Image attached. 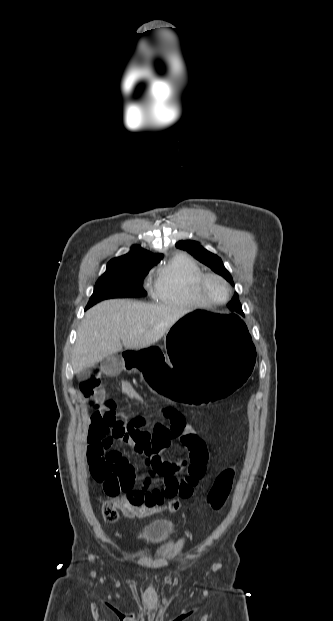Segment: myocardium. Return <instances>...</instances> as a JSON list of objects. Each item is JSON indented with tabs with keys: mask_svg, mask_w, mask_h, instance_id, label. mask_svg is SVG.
<instances>
[{
	"mask_svg": "<svg viewBox=\"0 0 333 621\" xmlns=\"http://www.w3.org/2000/svg\"><path fill=\"white\" fill-rule=\"evenodd\" d=\"M209 279H216L219 280L221 283H223L225 290H226V294L225 297L222 300H214L211 297H209L205 291V285L206 282ZM195 291L197 296L199 297V299L207 306H218V305H223L225 304L230 296H231V285L229 283V281L224 278L223 276L217 274V273H204L202 274L198 280L196 281L195 284Z\"/></svg>",
	"mask_w": 333,
	"mask_h": 621,
	"instance_id": "1",
	"label": "myocardium"
}]
</instances>
